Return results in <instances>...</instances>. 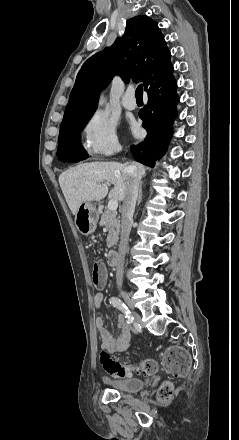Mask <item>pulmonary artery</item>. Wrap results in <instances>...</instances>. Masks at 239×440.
<instances>
[{
	"label": "pulmonary artery",
	"instance_id": "obj_1",
	"mask_svg": "<svg viewBox=\"0 0 239 440\" xmlns=\"http://www.w3.org/2000/svg\"><path fill=\"white\" fill-rule=\"evenodd\" d=\"M135 94V89L130 86L127 91L125 92V94L122 96L121 98V105L127 109V110H134L136 108V103L134 102H129L127 100L128 97L130 96H134Z\"/></svg>",
	"mask_w": 239,
	"mask_h": 440
}]
</instances>
